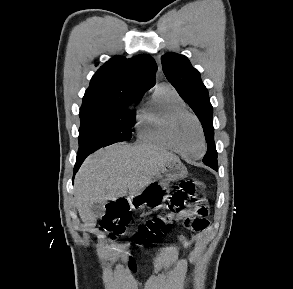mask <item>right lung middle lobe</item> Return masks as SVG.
I'll list each match as a JSON object with an SVG mask.
<instances>
[{
  "label": "right lung middle lobe",
  "mask_w": 293,
  "mask_h": 289,
  "mask_svg": "<svg viewBox=\"0 0 293 289\" xmlns=\"http://www.w3.org/2000/svg\"><path fill=\"white\" fill-rule=\"evenodd\" d=\"M136 98L82 104L78 153H92L101 147L130 140L135 113H127V109Z\"/></svg>",
  "instance_id": "dd1d6c3e"
}]
</instances>
